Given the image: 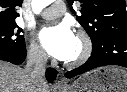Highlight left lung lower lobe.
I'll list each match as a JSON object with an SVG mask.
<instances>
[{
	"instance_id": "1",
	"label": "left lung lower lobe",
	"mask_w": 127,
	"mask_h": 92,
	"mask_svg": "<svg viewBox=\"0 0 127 92\" xmlns=\"http://www.w3.org/2000/svg\"><path fill=\"white\" fill-rule=\"evenodd\" d=\"M105 65H119L127 68V36H105L93 45L92 54L87 62L79 68L66 72L65 77L72 78Z\"/></svg>"
}]
</instances>
